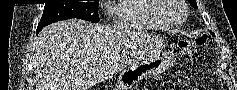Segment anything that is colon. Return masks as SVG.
Returning <instances> with one entry per match:
<instances>
[{"label":"colon","mask_w":237,"mask_h":90,"mask_svg":"<svg viewBox=\"0 0 237 90\" xmlns=\"http://www.w3.org/2000/svg\"><path fill=\"white\" fill-rule=\"evenodd\" d=\"M205 41V37L201 36L197 39H183L179 41V49L181 51L182 56L185 59H188L191 57V55L194 53L198 45L203 43Z\"/></svg>","instance_id":"1"}]
</instances>
